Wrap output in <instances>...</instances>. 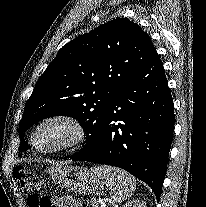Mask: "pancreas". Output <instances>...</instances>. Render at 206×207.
Returning <instances> with one entry per match:
<instances>
[{
	"label": "pancreas",
	"instance_id": "1",
	"mask_svg": "<svg viewBox=\"0 0 206 207\" xmlns=\"http://www.w3.org/2000/svg\"><path fill=\"white\" fill-rule=\"evenodd\" d=\"M90 205L91 207H98V202L96 200H91Z\"/></svg>",
	"mask_w": 206,
	"mask_h": 207
}]
</instances>
